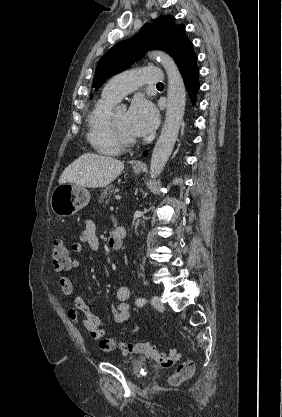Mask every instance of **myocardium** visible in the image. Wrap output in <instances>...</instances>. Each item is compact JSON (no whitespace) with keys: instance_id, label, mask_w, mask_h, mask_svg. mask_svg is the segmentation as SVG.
Returning a JSON list of instances; mask_svg holds the SVG:
<instances>
[{"instance_id":"f54148a6","label":"myocardium","mask_w":282,"mask_h":417,"mask_svg":"<svg viewBox=\"0 0 282 417\" xmlns=\"http://www.w3.org/2000/svg\"><path fill=\"white\" fill-rule=\"evenodd\" d=\"M109 125L113 134V137L115 138V140L117 141V143L120 146H130L133 145L136 142V138L135 137H128L125 136L120 129L117 127L116 123H115V115L114 112H111L110 116H109Z\"/></svg>"}]
</instances>
